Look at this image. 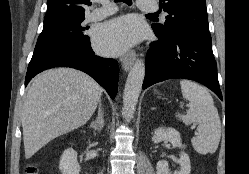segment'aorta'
Returning a JSON list of instances; mask_svg holds the SVG:
<instances>
[{
	"label": "aorta",
	"mask_w": 249,
	"mask_h": 174,
	"mask_svg": "<svg viewBox=\"0 0 249 174\" xmlns=\"http://www.w3.org/2000/svg\"><path fill=\"white\" fill-rule=\"evenodd\" d=\"M144 76L145 63L143 60H137L128 74L123 94V108L127 121L131 120L135 112Z\"/></svg>",
	"instance_id": "aorta-1"
}]
</instances>
